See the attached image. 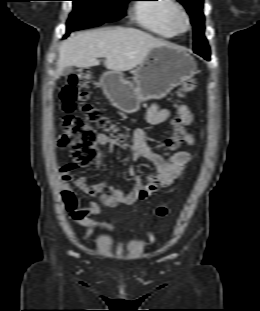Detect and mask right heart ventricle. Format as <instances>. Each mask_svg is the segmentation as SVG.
<instances>
[{
    "instance_id": "e07e8e85",
    "label": "right heart ventricle",
    "mask_w": 260,
    "mask_h": 311,
    "mask_svg": "<svg viewBox=\"0 0 260 311\" xmlns=\"http://www.w3.org/2000/svg\"><path fill=\"white\" fill-rule=\"evenodd\" d=\"M155 3L135 5L134 19L144 29L162 38H172L176 34L169 23V14L175 0H141Z\"/></svg>"
}]
</instances>
